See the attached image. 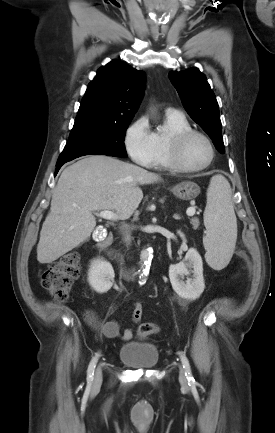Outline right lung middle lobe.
Returning a JSON list of instances; mask_svg holds the SVG:
<instances>
[{"mask_svg":"<svg viewBox=\"0 0 275 433\" xmlns=\"http://www.w3.org/2000/svg\"><path fill=\"white\" fill-rule=\"evenodd\" d=\"M131 119L123 121H75L68 142L57 163L84 155L127 157L124 135Z\"/></svg>","mask_w":275,"mask_h":433,"instance_id":"dd1d6c3e","label":"right lung middle lobe"}]
</instances>
